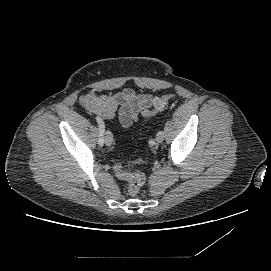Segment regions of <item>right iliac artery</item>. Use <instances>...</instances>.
I'll return each mask as SVG.
<instances>
[{
    "mask_svg": "<svg viewBox=\"0 0 271 271\" xmlns=\"http://www.w3.org/2000/svg\"><path fill=\"white\" fill-rule=\"evenodd\" d=\"M96 121L99 125V138H98V144L100 146H103L104 144V134H105V125L101 117L97 116Z\"/></svg>",
    "mask_w": 271,
    "mask_h": 271,
    "instance_id": "82829eb1",
    "label": "right iliac artery"
}]
</instances>
